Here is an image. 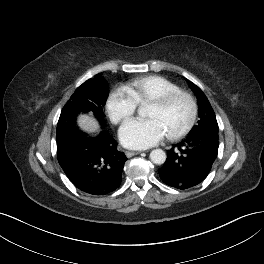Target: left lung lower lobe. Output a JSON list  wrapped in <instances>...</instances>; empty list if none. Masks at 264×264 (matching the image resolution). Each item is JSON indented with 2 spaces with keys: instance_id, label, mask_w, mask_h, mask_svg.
<instances>
[{
  "instance_id": "left-lung-lower-lobe-1",
  "label": "left lung lower lobe",
  "mask_w": 264,
  "mask_h": 264,
  "mask_svg": "<svg viewBox=\"0 0 264 264\" xmlns=\"http://www.w3.org/2000/svg\"><path fill=\"white\" fill-rule=\"evenodd\" d=\"M219 147L218 130L202 129L190 133L167 152V159L158 169L162 181L178 189L201 183L209 174Z\"/></svg>"
}]
</instances>
